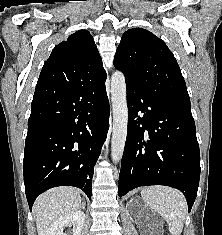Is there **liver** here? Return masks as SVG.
Returning <instances> with one entry per match:
<instances>
[{
    "label": "liver",
    "mask_w": 222,
    "mask_h": 235,
    "mask_svg": "<svg viewBox=\"0 0 222 235\" xmlns=\"http://www.w3.org/2000/svg\"><path fill=\"white\" fill-rule=\"evenodd\" d=\"M80 207L81 196L74 188L58 187L41 194L33 207L38 235H46L51 224Z\"/></svg>",
    "instance_id": "liver-1"
}]
</instances>
